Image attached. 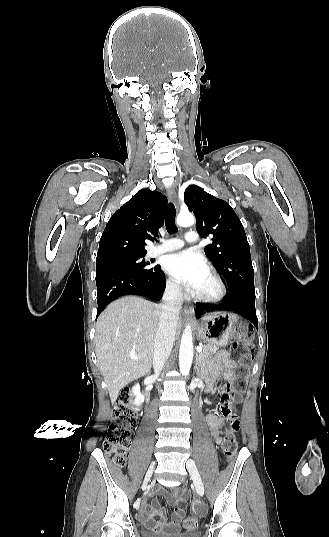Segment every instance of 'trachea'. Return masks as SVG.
I'll return each mask as SVG.
<instances>
[{"label": "trachea", "instance_id": "obj_1", "mask_svg": "<svg viewBox=\"0 0 329 537\" xmlns=\"http://www.w3.org/2000/svg\"><path fill=\"white\" fill-rule=\"evenodd\" d=\"M175 215L176 209L172 203H169L166 212L165 225L168 233H173L176 231L175 226Z\"/></svg>", "mask_w": 329, "mask_h": 537}]
</instances>
